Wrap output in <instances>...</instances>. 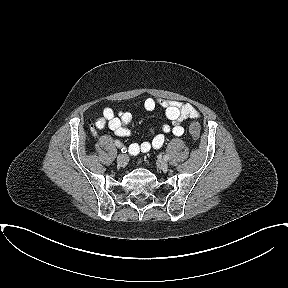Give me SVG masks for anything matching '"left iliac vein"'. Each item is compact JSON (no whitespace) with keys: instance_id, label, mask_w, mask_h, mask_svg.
<instances>
[{"instance_id":"4c4485c4","label":"left iliac vein","mask_w":288,"mask_h":288,"mask_svg":"<svg viewBox=\"0 0 288 288\" xmlns=\"http://www.w3.org/2000/svg\"><path fill=\"white\" fill-rule=\"evenodd\" d=\"M157 166L161 170L165 171L168 169V162L166 160H158Z\"/></svg>"}]
</instances>
